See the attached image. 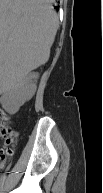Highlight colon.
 I'll list each match as a JSON object with an SVG mask.
<instances>
[{
  "label": "colon",
  "mask_w": 103,
  "mask_h": 193,
  "mask_svg": "<svg viewBox=\"0 0 103 193\" xmlns=\"http://www.w3.org/2000/svg\"><path fill=\"white\" fill-rule=\"evenodd\" d=\"M2 135L4 137H6V139H7L6 140L7 145H11L13 143L14 135H13V132L10 129H8L7 127H3L2 128Z\"/></svg>",
  "instance_id": "obj_1"
}]
</instances>
